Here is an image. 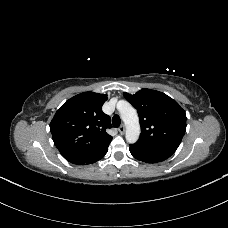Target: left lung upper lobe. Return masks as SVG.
Returning <instances> with one entry per match:
<instances>
[{
    "label": "left lung upper lobe",
    "mask_w": 228,
    "mask_h": 228,
    "mask_svg": "<svg viewBox=\"0 0 228 228\" xmlns=\"http://www.w3.org/2000/svg\"><path fill=\"white\" fill-rule=\"evenodd\" d=\"M123 95L137 109L140 119L141 135L135 144L175 152L186 130V114L179 104L151 89Z\"/></svg>",
    "instance_id": "obj_1"
}]
</instances>
